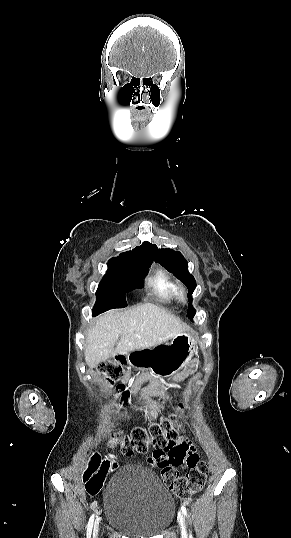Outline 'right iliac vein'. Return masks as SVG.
Returning a JSON list of instances; mask_svg holds the SVG:
<instances>
[{"instance_id": "1", "label": "right iliac vein", "mask_w": 291, "mask_h": 538, "mask_svg": "<svg viewBox=\"0 0 291 538\" xmlns=\"http://www.w3.org/2000/svg\"><path fill=\"white\" fill-rule=\"evenodd\" d=\"M99 523H100V517H98L95 521V524H94V538L96 537L97 535V532H98V527H99Z\"/></svg>"}]
</instances>
